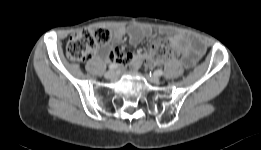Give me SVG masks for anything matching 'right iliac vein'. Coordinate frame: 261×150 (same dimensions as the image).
Here are the masks:
<instances>
[{
  "mask_svg": "<svg viewBox=\"0 0 261 150\" xmlns=\"http://www.w3.org/2000/svg\"><path fill=\"white\" fill-rule=\"evenodd\" d=\"M104 76L106 79H114L116 77V73L113 70H109L105 73Z\"/></svg>",
  "mask_w": 261,
  "mask_h": 150,
  "instance_id": "1",
  "label": "right iliac vein"
}]
</instances>
